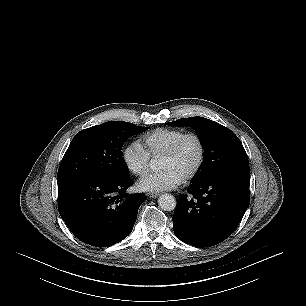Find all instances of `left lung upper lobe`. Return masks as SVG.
I'll return each instance as SVG.
<instances>
[{
	"mask_svg": "<svg viewBox=\"0 0 306 306\" xmlns=\"http://www.w3.org/2000/svg\"><path fill=\"white\" fill-rule=\"evenodd\" d=\"M167 125L192 127L203 145L204 159L191 183L219 173L249 171L244 147L230 129L203 117L182 118Z\"/></svg>",
	"mask_w": 306,
	"mask_h": 306,
	"instance_id": "1",
	"label": "left lung upper lobe"
}]
</instances>
